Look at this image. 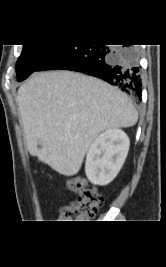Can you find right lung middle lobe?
<instances>
[{
  "instance_id": "obj_1",
  "label": "right lung middle lobe",
  "mask_w": 166,
  "mask_h": 267,
  "mask_svg": "<svg viewBox=\"0 0 166 267\" xmlns=\"http://www.w3.org/2000/svg\"><path fill=\"white\" fill-rule=\"evenodd\" d=\"M59 47L57 44L23 45L16 65L17 80L26 79Z\"/></svg>"
}]
</instances>
